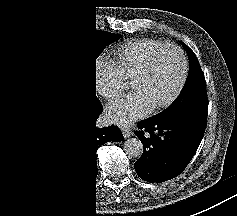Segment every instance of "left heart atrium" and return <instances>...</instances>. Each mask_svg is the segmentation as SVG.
Returning a JSON list of instances; mask_svg holds the SVG:
<instances>
[{"label":"left heart atrium","instance_id":"left-heart-atrium-1","mask_svg":"<svg viewBox=\"0 0 237 216\" xmlns=\"http://www.w3.org/2000/svg\"><path fill=\"white\" fill-rule=\"evenodd\" d=\"M152 111V102L147 97L125 96L118 98L112 106V117L119 123H139Z\"/></svg>","mask_w":237,"mask_h":216}]
</instances>
